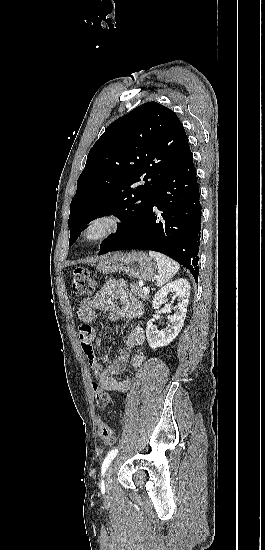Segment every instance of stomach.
I'll return each instance as SVG.
<instances>
[{"label": "stomach", "mask_w": 265, "mask_h": 550, "mask_svg": "<svg viewBox=\"0 0 265 550\" xmlns=\"http://www.w3.org/2000/svg\"><path fill=\"white\" fill-rule=\"evenodd\" d=\"M96 268L104 274L123 272L130 277L144 281L151 280L155 272L152 258L140 251L107 254L99 259Z\"/></svg>", "instance_id": "stomach-1"}]
</instances>
